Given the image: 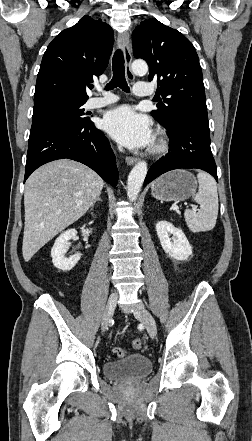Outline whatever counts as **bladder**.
Listing matches in <instances>:
<instances>
[{"mask_svg": "<svg viewBox=\"0 0 252 441\" xmlns=\"http://www.w3.org/2000/svg\"><path fill=\"white\" fill-rule=\"evenodd\" d=\"M105 376L114 381H138L152 371V362L143 355H129L116 361L104 363Z\"/></svg>", "mask_w": 252, "mask_h": 441, "instance_id": "1", "label": "bladder"}]
</instances>
